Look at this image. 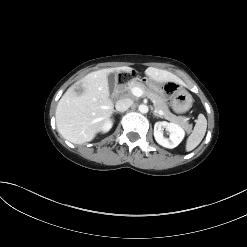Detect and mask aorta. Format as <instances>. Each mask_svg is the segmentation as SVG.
Here are the masks:
<instances>
[{
    "instance_id": "1",
    "label": "aorta",
    "mask_w": 247,
    "mask_h": 247,
    "mask_svg": "<svg viewBox=\"0 0 247 247\" xmlns=\"http://www.w3.org/2000/svg\"><path fill=\"white\" fill-rule=\"evenodd\" d=\"M138 110L140 111V113L145 114L149 111V108L147 105L141 104L139 105Z\"/></svg>"
}]
</instances>
